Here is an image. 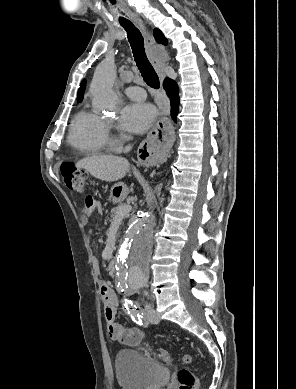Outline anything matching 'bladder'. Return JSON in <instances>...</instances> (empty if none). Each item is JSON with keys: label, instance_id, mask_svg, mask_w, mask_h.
<instances>
[{"label": "bladder", "instance_id": "1", "mask_svg": "<svg viewBox=\"0 0 296 389\" xmlns=\"http://www.w3.org/2000/svg\"><path fill=\"white\" fill-rule=\"evenodd\" d=\"M115 372L122 389H160L170 376L167 367L130 349L116 354Z\"/></svg>", "mask_w": 296, "mask_h": 389}]
</instances>
